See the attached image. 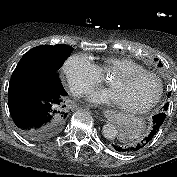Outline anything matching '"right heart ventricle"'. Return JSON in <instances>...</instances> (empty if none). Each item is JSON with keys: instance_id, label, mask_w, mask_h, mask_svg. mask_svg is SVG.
<instances>
[{"instance_id": "e07e8e85", "label": "right heart ventricle", "mask_w": 177, "mask_h": 177, "mask_svg": "<svg viewBox=\"0 0 177 177\" xmlns=\"http://www.w3.org/2000/svg\"><path fill=\"white\" fill-rule=\"evenodd\" d=\"M101 74L108 76L115 73L125 72L130 70H145L142 65L130 58H108L101 63L96 64Z\"/></svg>"}]
</instances>
